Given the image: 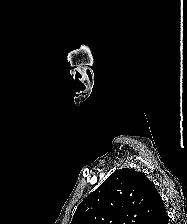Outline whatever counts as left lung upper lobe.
Here are the masks:
<instances>
[{"label": "left lung upper lobe", "mask_w": 187, "mask_h": 224, "mask_svg": "<svg viewBox=\"0 0 187 224\" xmlns=\"http://www.w3.org/2000/svg\"><path fill=\"white\" fill-rule=\"evenodd\" d=\"M162 203L144 173L123 168L79 204L71 224H150Z\"/></svg>", "instance_id": "left-lung-upper-lobe-1"}]
</instances>
